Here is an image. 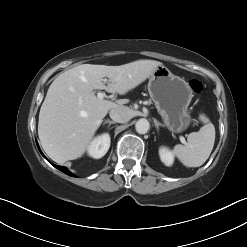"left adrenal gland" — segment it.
Returning a JSON list of instances; mask_svg holds the SVG:
<instances>
[{"instance_id":"a2214340","label":"left adrenal gland","mask_w":247,"mask_h":247,"mask_svg":"<svg viewBox=\"0 0 247 247\" xmlns=\"http://www.w3.org/2000/svg\"><path fill=\"white\" fill-rule=\"evenodd\" d=\"M154 124H155L157 132H159V127L163 125L160 122H158L156 119H154Z\"/></svg>"}]
</instances>
